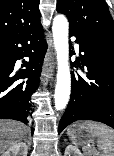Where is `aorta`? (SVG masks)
Masks as SVG:
<instances>
[{"mask_svg":"<svg viewBox=\"0 0 114 156\" xmlns=\"http://www.w3.org/2000/svg\"><path fill=\"white\" fill-rule=\"evenodd\" d=\"M54 46L57 53V82L55 87V109L63 110L69 101L71 76L69 68V24L67 18L59 14L54 17L52 24Z\"/></svg>","mask_w":114,"mask_h":156,"instance_id":"aorta-1","label":"aorta"}]
</instances>
